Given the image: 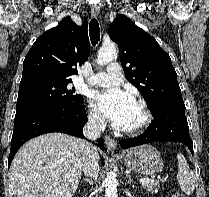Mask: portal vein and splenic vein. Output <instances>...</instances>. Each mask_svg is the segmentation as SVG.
Returning <instances> with one entry per match:
<instances>
[{
  "mask_svg": "<svg viewBox=\"0 0 209 197\" xmlns=\"http://www.w3.org/2000/svg\"><path fill=\"white\" fill-rule=\"evenodd\" d=\"M140 183H145V184H150V183H154L155 180L154 179H149V178H141Z\"/></svg>",
  "mask_w": 209,
  "mask_h": 197,
  "instance_id": "1",
  "label": "portal vein and splenic vein"
}]
</instances>
